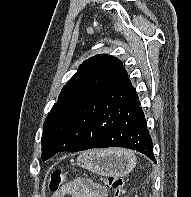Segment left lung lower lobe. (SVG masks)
I'll list each match as a JSON object with an SVG mask.
<instances>
[{"mask_svg":"<svg viewBox=\"0 0 191 197\" xmlns=\"http://www.w3.org/2000/svg\"><path fill=\"white\" fill-rule=\"evenodd\" d=\"M139 104L129 79L92 98L65 128L71 152L125 147L145 154L156 163Z\"/></svg>","mask_w":191,"mask_h":197,"instance_id":"obj_1","label":"left lung lower lobe"}]
</instances>
